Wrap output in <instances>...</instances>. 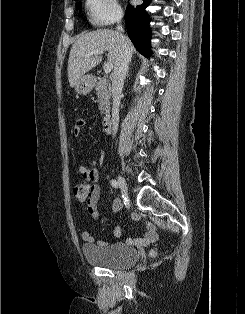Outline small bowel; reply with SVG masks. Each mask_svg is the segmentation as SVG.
I'll return each instance as SVG.
<instances>
[{"label":"small bowel","mask_w":245,"mask_h":314,"mask_svg":"<svg viewBox=\"0 0 245 314\" xmlns=\"http://www.w3.org/2000/svg\"><path fill=\"white\" fill-rule=\"evenodd\" d=\"M85 125L84 120L79 119L76 121L74 128H73V133L75 135H79L82 127ZM78 172L80 173L82 179L85 182H89L90 186H91V198L90 200L87 202V210L89 212V214L93 217V218H98L99 217V210L97 208V202L99 200V196H100V187L97 183L98 181V177H99V173H98V169H97V161L95 158H93L90 161L89 166H86L84 164H80L78 166ZM121 208V203L120 201L116 200L114 202L113 205V210L114 211H118ZM133 218L134 219H138L140 218L139 214H133ZM147 228L148 231L142 235L139 238H127L126 239V244L131 245V246H148L149 244L155 242L157 240V232H156V228L155 226L148 222L147 223ZM121 235V229L116 226L114 227L113 230V237L117 238ZM82 238L84 241L89 242V243H94L95 237L94 235L89 232V231H83L82 232ZM98 244L103 245L106 244L105 241H99Z\"/></svg>","instance_id":"obj_1"}]
</instances>
